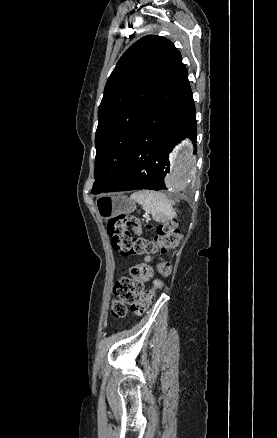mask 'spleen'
I'll return each mask as SVG.
<instances>
[{
    "instance_id": "1",
    "label": "spleen",
    "mask_w": 277,
    "mask_h": 438,
    "mask_svg": "<svg viewBox=\"0 0 277 438\" xmlns=\"http://www.w3.org/2000/svg\"><path fill=\"white\" fill-rule=\"evenodd\" d=\"M131 200H135V202H138L141 206L148 208L154 220H157V222H166V220H172V218L176 216V212H174L170 200H168L165 194H161V192L141 190V192H134L131 196Z\"/></svg>"
}]
</instances>
